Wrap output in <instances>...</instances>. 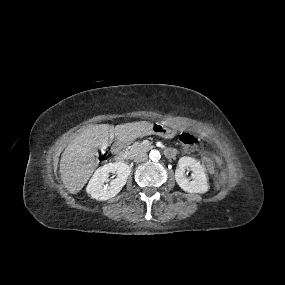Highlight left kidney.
I'll use <instances>...</instances> for the list:
<instances>
[{
	"instance_id": "left-kidney-1",
	"label": "left kidney",
	"mask_w": 285,
	"mask_h": 285,
	"mask_svg": "<svg viewBox=\"0 0 285 285\" xmlns=\"http://www.w3.org/2000/svg\"><path fill=\"white\" fill-rule=\"evenodd\" d=\"M192 171V181L185 176V170ZM175 180L177 184L186 192L189 193H205L208 191L207 177L204 172V167L194 158L181 157L178 161L175 171Z\"/></svg>"
}]
</instances>
